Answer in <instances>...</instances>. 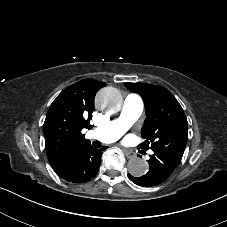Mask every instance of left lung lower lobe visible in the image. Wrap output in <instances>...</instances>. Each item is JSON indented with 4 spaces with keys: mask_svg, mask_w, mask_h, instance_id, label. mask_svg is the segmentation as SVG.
Wrapping results in <instances>:
<instances>
[{
    "mask_svg": "<svg viewBox=\"0 0 227 227\" xmlns=\"http://www.w3.org/2000/svg\"><path fill=\"white\" fill-rule=\"evenodd\" d=\"M179 163L168 156L154 153L150 155L149 171L146 175L136 178L128 174V177L137 185L143 187L155 186L164 182Z\"/></svg>",
    "mask_w": 227,
    "mask_h": 227,
    "instance_id": "1",
    "label": "left lung lower lobe"
}]
</instances>
